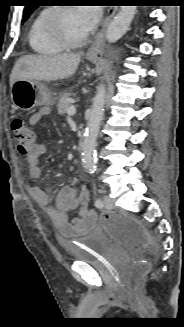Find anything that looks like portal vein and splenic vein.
<instances>
[{"label": "portal vein and splenic vein", "instance_id": "obj_1", "mask_svg": "<svg viewBox=\"0 0 184 327\" xmlns=\"http://www.w3.org/2000/svg\"><path fill=\"white\" fill-rule=\"evenodd\" d=\"M76 113V109L74 106H70L67 110V114L70 115H74Z\"/></svg>", "mask_w": 184, "mask_h": 327}]
</instances>
